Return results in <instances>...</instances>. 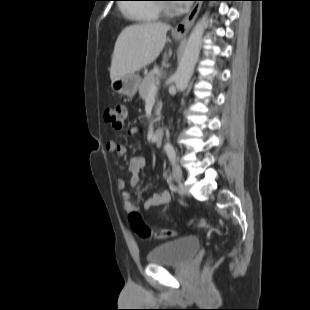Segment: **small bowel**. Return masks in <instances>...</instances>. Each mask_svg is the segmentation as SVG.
Listing matches in <instances>:
<instances>
[{
    "label": "small bowel",
    "mask_w": 310,
    "mask_h": 310,
    "mask_svg": "<svg viewBox=\"0 0 310 310\" xmlns=\"http://www.w3.org/2000/svg\"><path fill=\"white\" fill-rule=\"evenodd\" d=\"M139 132L137 127H132L128 130V135L133 136ZM106 151L117 156H123L125 153V148L122 144L115 141H108L106 144ZM145 166V158L142 156H133L129 161L127 180L121 178L117 182V188L122 192L121 197L123 200L124 208L128 213L138 211V206L134 203L132 195L128 189H134L139 183V173ZM170 193L168 191H163L161 193L153 194L148 197L143 208L149 210L154 207L165 206L170 202Z\"/></svg>",
    "instance_id": "c3829d8e"
}]
</instances>
